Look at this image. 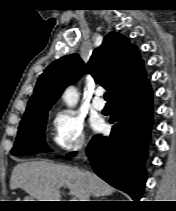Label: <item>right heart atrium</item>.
Masks as SVG:
<instances>
[{"label":"right heart atrium","instance_id":"obj_1","mask_svg":"<svg viewBox=\"0 0 176 211\" xmlns=\"http://www.w3.org/2000/svg\"><path fill=\"white\" fill-rule=\"evenodd\" d=\"M51 126L52 144L58 150L77 152L86 145L84 121L74 111H57L52 118Z\"/></svg>","mask_w":176,"mask_h":211}]
</instances>
